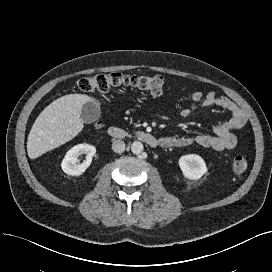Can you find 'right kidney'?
<instances>
[{
  "label": "right kidney",
  "instance_id": "right-kidney-1",
  "mask_svg": "<svg viewBox=\"0 0 272 272\" xmlns=\"http://www.w3.org/2000/svg\"><path fill=\"white\" fill-rule=\"evenodd\" d=\"M95 153L96 148L94 146L86 143L78 144L66 153L61 168L68 175L79 176L90 166ZM82 154H86V160L81 164H77L78 157Z\"/></svg>",
  "mask_w": 272,
  "mask_h": 272
}]
</instances>
